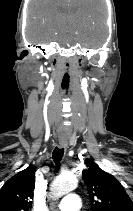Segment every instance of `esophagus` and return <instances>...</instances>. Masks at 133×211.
I'll return each mask as SVG.
<instances>
[{
    "label": "esophagus",
    "instance_id": "esophagus-1",
    "mask_svg": "<svg viewBox=\"0 0 133 211\" xmlns=\"http://www.w3.org/2000/svg\"><path fill=\"white\" fill-rule=\"evenodd\" d=\"M59 146L61 148H67L68 147V142L65 140L59 141Z\"/></svg>",
    "mask_w": 133,
    "mask_h": 211
}]
</instances>
